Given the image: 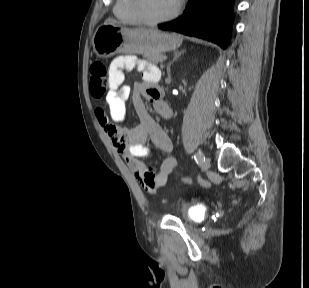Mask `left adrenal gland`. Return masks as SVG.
I'll return each mask as SVG.
<instances>
[{"label":"left adrenal gland","instance_id":"obj_1","mask_svg":"<svg viewBox=\"0 0 309 288\" xmlns=\"http://www.w3.org/2000/svg\"><path fill=\"white\" fill-rule=\"evenodd\" d=\"M185 52V50H182V51H175L174 52V58L173 60L168 64L167 66V73H168V76L170 77V67H171V64L176 61L180 56L181 54H183Z\"/></svg>","mask_w":309,"mask_h":288}]
</instances>
